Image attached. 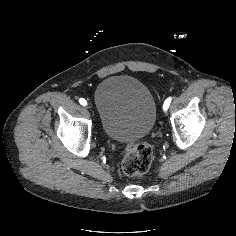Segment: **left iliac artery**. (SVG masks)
I'll list each match as a JSON object with an SVG mask.
<instances>
[{"label":"left iliac artery","instance_id":"obj_1","mask_svg":"<svg viewBox=\"0 0 236 236\" xmlns=\"http://www.w3.org/2000/svg\"><path fill=\"white\" fill-rule=\"evenodd\" d=\"M171 100H172V98L171 97H168L166 100H165V102H164V104H163V109L164 108H169V106H170V103H171Z\"/></svg>","mask_w":236,"mask_h":236}]
</instances>
